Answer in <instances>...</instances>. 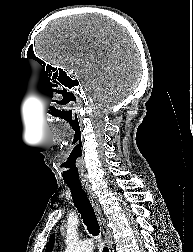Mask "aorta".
<instances>
[{
  "label": "aorta",
  "instance_id": "aorta-1",
  "mask_svg": "<svg viewBox=\"0 0 193 252\" xmlns=\"http://www.w3.org/2000/svg\"><path fill=\"white\" fill-rule=\"evenodd\" d=\"M94 244L91 240H69L65 252H92Z\"/></svg>",
  "mask_w": 193,
  "mask_h": 252
}]
</instances>
